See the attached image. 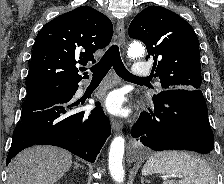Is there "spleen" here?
Returning a JSON list of instances; mask_svg holds the SVG:
<instances>
[{"instance_id": "obj_1", "label": "spleen", "mask_w": 224, "mask_h": 184, "mask_svg": "<svg viewBox=\"0 0 224 184\" xmlns=\"http://www.w3.org/2000/svg\"><path fill=\"white\" fill-rule=\"evenodd\" d=\"M160 173L182 177L178 182L164 180L163 184H215L211 167L193 153L183 151L159 152L152 155L142 169L143 175Z\"/></svg>"}]
</instances>
